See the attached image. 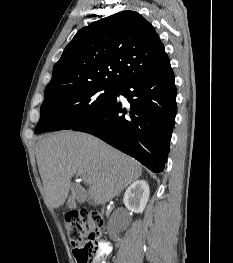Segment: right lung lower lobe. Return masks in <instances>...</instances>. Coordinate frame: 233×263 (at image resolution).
<instances>
[{
	"mask_svg": "<svg viewBox=\"0 0 233 263\" xmlns=\"http://www.w3.org/2000/svg\"><path fill=\"white\" fill-rule=\"evenodd\" d=\"M119 95L129 102L127 108L117 101ZM176 111L170 67L161 74L121 84L104 109L72 129L99 137L159 173L168 157Z\"/></svg>",
	"mask_w": 233,
	"mask_h": 263,
	"instance_id": "obj_1",
	"label": "right lung lower lobe"
}]
</instances>
